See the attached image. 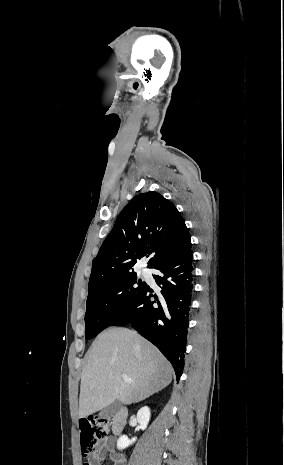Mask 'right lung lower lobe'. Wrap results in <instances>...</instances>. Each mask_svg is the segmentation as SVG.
<instances>
[{"label": "right lung lower lobe", "instance_id": "right-lung-lower-lobe-1", "mask_svg": "<svg viewBox=\"0 0 284 465\" xmlns=\"http://www.w3.org/2000/svg\"><path fill=\"white\" fill-rule=\"evenodd\" d=\"M190 238L181 248L161 260L153 275L161 296L148 285L118 315L110 326L131 324L171 362L179 380L184 367L192 297L194 269ZM153 298L155 300H153Z\"/></svg>", "mask_w": 284, "mask_h": 465}]
</instances>
